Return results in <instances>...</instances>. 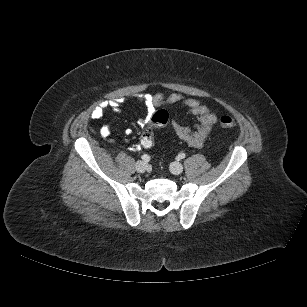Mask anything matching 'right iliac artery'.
<instances>
[{
  "label": "right iliac artery",
  "instance_id": "obj_1",
  "mask_svg": "<svg viewBox=\"0 0 307 307\" xmlns=\"http://www.w3.org/2000/svg\"><path fill=\"white\" fill-rule=\"evenodd\" d=\"M141 158H142V160H143L144 162H149V161H150V156L147 155V154L142 155Z\"/></svg>",
  "mask_w": 307,
  "mask_h": 307
}]
</instances>
